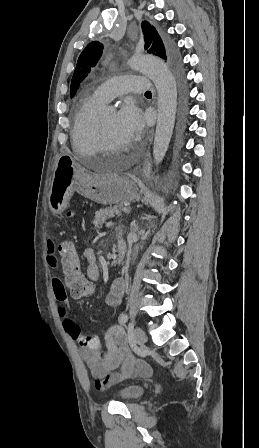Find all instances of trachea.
Instances as JSON below:
<instances>
[{
	"label": "trachea",
	"mask_w": 259,
	"mask_h": 448,
	"mask_svg": "<svg viewBox=\"0 0 259 448\" xmlns=\"http://www.w3.org/2000/svg\"><path fill=\"white\" fill-rule=\"evenodd\" d=\"M145 93H151L149 90H147V92H145Z\"/></svg>",
	"instance_id": "obj_1"
}]
</instances>
